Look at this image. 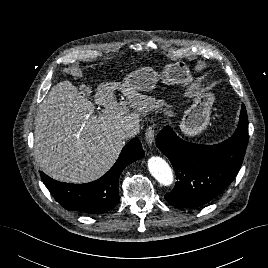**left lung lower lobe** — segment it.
<instances>
[{
  "label": "left lung lower lobe",
  "mask_w": 268,
  "mask_h": 268,
  "mask_svg": "<svg viewBox=\"0 0 268 268\" xmlns=\"http://www.w3.org/2000/svg\"><path fill=\"white\" fill-rule=\"evenodd\" d=\"M241 111H246L244 104ZM247 122L243 119L229 139L215 145L186 142L165 126L156 145L170 160L178 180L165 199L173 206L197 208L226 189L243 162L248 143Z\"/></svg>",
  "instance_id": "obj_1"
}]
</instances>
